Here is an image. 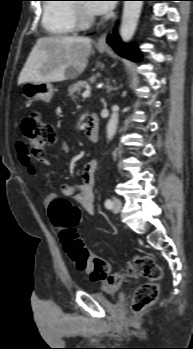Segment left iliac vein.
Listing matches in <instances>:
<instances>
[{
    "label": "left iliac vein",
    "mask_w": 193,
    "mask_h": 349,
    "mask_svg": "<svg viewBox=\"0 0 193 349\" xmlns=\"http://www.w3.org/2000/svg\"><path fill=\"white\" fill-rule=\"evenodd\" d=\"M122 207V202L119 198L113 199V212L118 213Z\"/></svg>",
    "instance_id": "1"
}]
</instances>
